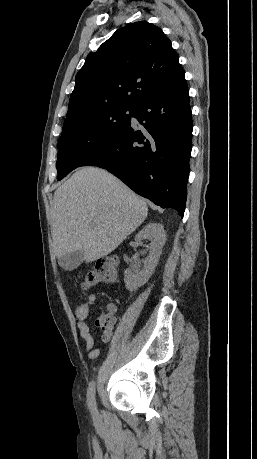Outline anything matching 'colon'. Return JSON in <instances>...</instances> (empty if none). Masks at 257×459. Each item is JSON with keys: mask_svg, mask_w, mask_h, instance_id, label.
Returning <instances> with one entry per match:
<instances>
[{"mask_svg": "<svg viewBox=\"0 0 257 459\" xmlns=\"http://www.w3.org/2000/svg\"><path fill=\"white\" fill-rule=\"evenodd\" d=\"M117 260L107 256L97 260L81 274L82 285L87 288L98 283L113 281L116 276Z\"/></svg>", "mask_w": 257, "mask_h": 459, "instance_id": "colon-1", "label": "colon"}]
</instances>
